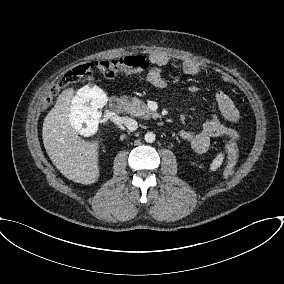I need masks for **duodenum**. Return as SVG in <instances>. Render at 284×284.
Listing matches in <instances>:
<instances>
[{"mask_svg": "<svg viewBox=\"0 0 284 284\" xmlns=\"http://www.w3.org/2000/svg\"><path fill=\"white\" fill-rule=\"evenodd\" d=\"M109 107L115 113H121L124 110V103L119 97H112L109 100Z\"/></svg>", "mask_w": 284, "mask_h": 284, "instance_id": "410a0bca", "label": "duodenum"}]
</instances>
